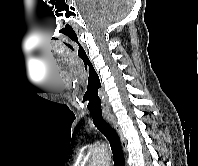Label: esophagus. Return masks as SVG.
Listing matches in <instances>:
<instances>
[{
	"mask_svg": "<svg viewBox=\"0 0 198 166\" xmlns=\"http://www.w3.org/2000/svg\"><path fill=\"white\" fill-rule=\"evenodd\" d=\"M105 119L116 130V132L118 133L119 138L121 140V145H122L123 149H125L126 148V140L124 138L121 127L119 126V124L117 122L116 117L112 114H105Z\"/></svg>",
	"mask_w": 198,
	"mask_h": 166,
	"instance_id": "esophagus-1",
	"label": "esophagus"
}]
</instances>
